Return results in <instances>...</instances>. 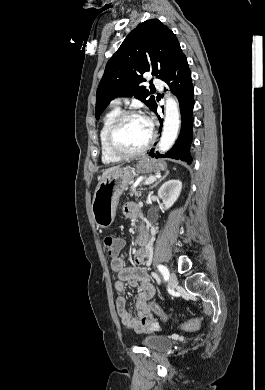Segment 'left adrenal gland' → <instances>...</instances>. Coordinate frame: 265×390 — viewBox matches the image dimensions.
Here are the masks:
<instances>
[{
	"label": "left adrenal gland",
	"instance_id": "left-adrenal-gland-1",
	"mask_svg": "<svg viewBox=\"0 0 265 390\" xmlns=\"http://www.w3.org/2000/svg\"><path fill=\"white\" fill-rule=\"evenodd\" d=\"M168 174H169V171H166L165 172V174L161 177V178H159L156 182H155V184L153 185V186H151V188H154V187H156L166 176H168Z\"/></svg>",
	"mask_w": 265,
	"mask_h": 390
}]
</instances>
